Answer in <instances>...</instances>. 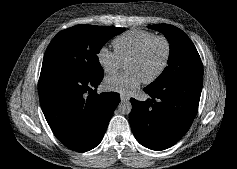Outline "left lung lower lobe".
<instances>
[{
    "instance_id": "left-lung-lower-lobe-1",
    "label": "left lung lower lobe",
    "mask_w": 237,
    "mask_h": 169,
    "mask_svg": "<svg viewBox=\"0 0 237 169\" xmlns=\"http://www.w3.org/2000/svg\"><path fill=\"white\" fill-rule=\"evenodd\" d=\"M202 84L203 76L188 77L147 86L144 91L151 100L143 102L131 98L130 124L136 140L157 151L178 142L196 116Z\"/></svg>"
}]
</instances>
